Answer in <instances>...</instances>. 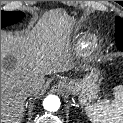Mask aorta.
<instances>
[{"mask_svg": "<svg viewBox=\"0 0 123 123\" xmlns=\"http://www.w3.org/2000/svg\"><path fill=\"white\" fill-rule=\"evenodd\" d=\"M60 99L56 95H48L44 100H43V107L45 110L49 112H55L60 108Z\"/></svg>", "mask_w": 123, "mask_h": 123, "instance_id": "762f6f07", "label": "aorta"}]
</instances>
